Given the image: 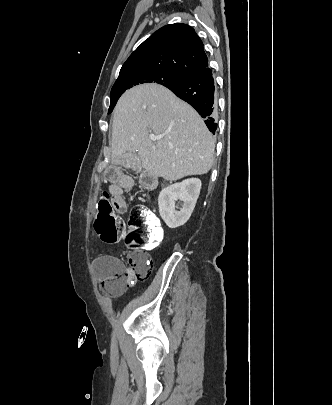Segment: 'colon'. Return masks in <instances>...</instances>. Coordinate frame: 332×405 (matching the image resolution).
<instances>
[{
	"instance_id": "obj_1",
	"label": "colon",
	"mask_w": 332,
	"mask_h": 405,
	"mask_svg": "<svg viewBox=\"0 0 332 405\" xmlns=\"http://www.w3.org/2000/svg\"><path fill=\"white\" fill-rule=\"evenodd\" d=\"M140 182L146 188H153L155 181L149 172L140 175ZM110 192H103L97 205L94 228L98 236L105 243L119 241L125 231L126 224L115 215L113 206L109 205ZM128 226L131 228V246L128 257V269L117 272L102 283L103 292L108 295L121 293L133 278L146 279L151 271L152 261L149 256L154 255L155 244L163 238V229L159 218L153 211L142 205L132 208ZM144 242H146L144 244ZM144 244V247H143Z\"/></svg>"
}]
</instances>
